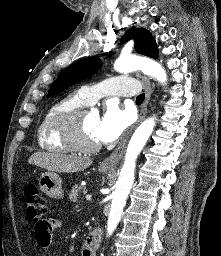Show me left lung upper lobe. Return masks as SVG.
Here are the masks:
<instances>
[{"mask_svg": "<svg viewBox=\"0 0 221 256\" xmlns=\"http://www.w3.org/2000/svg\"><path fill=\"white\" fill-rule=\"evenodd\" d=\"M132 38L135 41V50L138 53L154 59L158 57L156 41L148 30L132 27L122 38V43ZM101 65L102 63L97 57H88L73 63L60 73L55 83L49 89V96L55 95L67 87L91 77Z\"/></svg>", "mask_w": 221, "mask_h": 256, "instance_id": "obj_1", "label": "left lung upper lobe"}]
</instances>
